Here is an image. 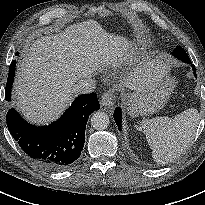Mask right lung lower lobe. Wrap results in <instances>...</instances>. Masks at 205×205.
<instances>
[{
    "instance_id": "obj_1",
    "label": "right lung lower lobe",
    "mask_w": 205,
    "mask_h": 205,
    "mask_svg": "<svg viewBox=\"0 0 205 205\" xmlns=\"http://www.w3.org/2000/svg\"><path fill=\"white\" fill-rule=\"evenodd\" d=\"M99 108L96 93L80 95L57 121L42 127L27 123L11 108L6 116L7 127L22 150L40 167L64 170L77 162L84 147L89 115Z\"/></svg>"
}]
</instances>
